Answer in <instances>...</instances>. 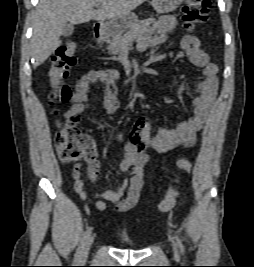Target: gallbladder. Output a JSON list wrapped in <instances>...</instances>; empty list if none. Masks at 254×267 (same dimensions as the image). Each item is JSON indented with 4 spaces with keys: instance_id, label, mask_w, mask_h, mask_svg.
Returning <instances> with one entry per match:
<instances>
[{
    "instance_id": "1",
    "label": "gallbladder",
    "mask_w": 254,
    "mask_h": 267,
    "mask_svg": "<svg viewBox=\"0 0 254 267\" xmlns=\"http://www.w3.org/2000/svg\"><path fill=\"white\" fill-rule=\"evenodd\" d=\"M74 27L73 24H65V26L62 29V35L64 37L70 36L73 33Z\"/></svg>"
}]
</instances>
